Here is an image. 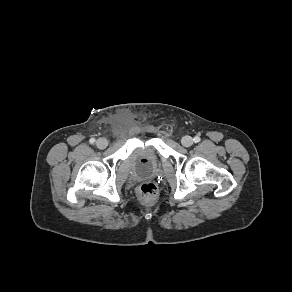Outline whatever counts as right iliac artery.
Instances as JSON below:
<instances>
[{
  "label": "right iliac artery",
  "instance_id": "1",
  "mask_svg": "<svg viewBox=\"0 0 292 292\" xmlns=\"http://www.w3.org/2000/svg\"><path fill=\"white\" fill-rule=\"evenodd\" d=\"M90 143H91V144L95 143V139H94V138H91V139H90Z\"/></svg>",
  "mask_w": 292,
  "mask_h": 292
}]
</instances>
